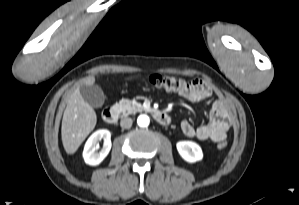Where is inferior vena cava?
I'll return each instance as SVG.
<instances>
[{"mask_svg":"<svg viewBox=\"0 0 299 205\" xmlns=\"http://www.w3.org/2000/svg\"><path fill=\"white\" fill-rule=\"evenodd\" d=\"M132 123H133V120L131 118L124 117L120 121V126L122 128L128 129L132 126Z\"/></svg>","mask_w":299,"mask_h":205,"instance_id":"1","label":"inferior vena cava"}]
</instances>
